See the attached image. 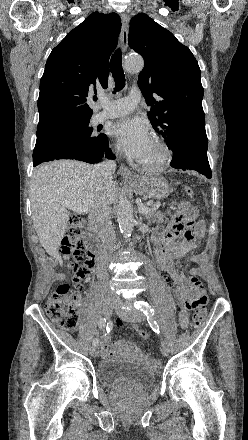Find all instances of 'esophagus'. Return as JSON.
Wrapping results in <instances>:
<instances>
[{"mask_svg":"<svg viewBox=\"0 0 248 440\" xmlns=\"http://www.w3.org/2000/svg\"><path fill=\"white\" fill-rule=\"evenodd\" d=\"M121 19H122L121 47L123 53H125L128 49L129 17L126 14H122ZM119 173L125 179L133 177L131 170L125 164L120 165Z\"/></svg>","mask_w":248,"mask_h":440,"instance_id":"1","label":"esophagus"}]
</instances>
